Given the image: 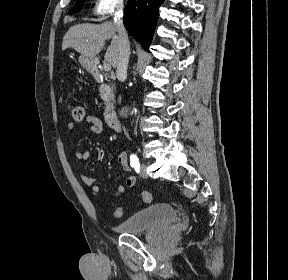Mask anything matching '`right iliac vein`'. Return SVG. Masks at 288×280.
Listing matches in <instances>:
<instances>
[{
    "label": "right iliac vein",
    "mask_w": 288,
    "mask_h": 280,
    "mask_svg": "<svg viewBox=\"0 0 288 280\" xmlns=\"http://www.w3.org/2000/svg\"><path fill=\"white\" fill-rule=\"evenodd\" d=\"M141 168H142V170H144L146 168V166L142 164Z\"/></svg>",
    "instance_id": "right-iliac-vein-1"
}]
</instances>
